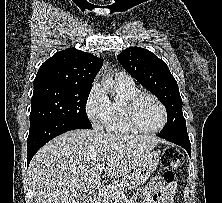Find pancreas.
<instances>
[{
    "instance_id": "obj_1",
    "label": "pancreas",
    "mask_w": 222,
    "mask_h": 203,
    "mask_svg": "<svg viewBox=\"0 0 222 203\" xmlns=\"http://www.w3.org/2000/svg\"><path fill=\"white\" fill-rule=\"evenodd\" d=\"M123 187H124V181H118L109 186L106 194V201H107L106 203H114L113 200L115 198H118L120 194L123 193L124 190Z\"/></svg>"
}]
</instances>
